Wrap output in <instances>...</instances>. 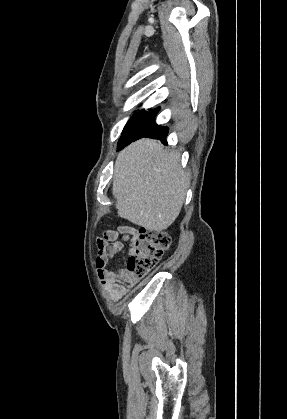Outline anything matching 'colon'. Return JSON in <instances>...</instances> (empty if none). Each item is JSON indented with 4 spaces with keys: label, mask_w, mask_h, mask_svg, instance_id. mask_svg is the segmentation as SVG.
<instances>
[{
    "label": "colon",
    "mask_w": 287,
    "mask_h": 419,
    "mask_svg": "<svg viewBox=\"0 0 287 419\" xmlns=\"http://www.w3.org/2000/svg\"><path fill=\"white\" fill-rule=\"evenodd\" d=\"M169 245L170 238L167 234L139 229L130 242L128 270L137 277L144 276L158 264Z\"/></svg>",
    "instance_id": "colon-1"
}]
</instances>
